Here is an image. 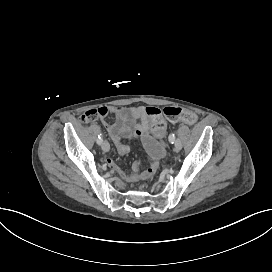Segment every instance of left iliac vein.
Segmentation results:
<instances>
[{
    "instance_id": "4c4485c4",
    "label": "left iliac vein",
    "mask_w": 272,
    "mask_h": 272,
    "mask_svg": "<svg viewBox=\"0 0 272 272\" xmlns=\"http://www.w3.org/2000/svg\"><path fill=\"white\" fill-rule=\"evenodd\" d=\"M182 149V144L180 141L176 140L175 141V151L179 152Z\"/></svg>"
}]
</instances>
